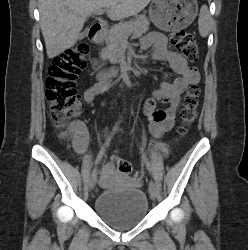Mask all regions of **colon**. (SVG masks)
Returning <instances> with one entry per match:
<instances>
[{"instance_id":"colon-1","label":"colon","mask_w":248,"mask_h":250,"mask_svg":"<svg viewBox=\"0 0 248 250\" xmlns=\"http://www.w3.org/2000/svg\"><path fill=\"white\" fill-rule=\"evenodd\" d=\"M173 46L181 51L186 59L195 62L199 58V50L194 36L186 31H172L169 35ZM89 47L86 43H78L56 57L51 64L46 79V96L49 102L51 119L56 128L64 130L67 124L80 113L82 104L76 90L75 82L79 73L86 67ZM200 89L191 84L184 96L181 110V123L178 133L184 135L194 122L199 104ZM63 135H67L64 131ZM113 162L122 173H130L132 165L129 161L114 157Z\"/></svg>"}]
</instances>
